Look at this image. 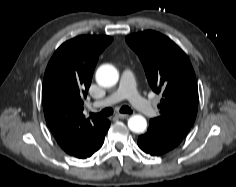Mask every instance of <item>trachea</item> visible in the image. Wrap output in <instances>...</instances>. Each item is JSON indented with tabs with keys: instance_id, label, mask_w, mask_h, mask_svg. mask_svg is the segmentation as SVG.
Here are the masks:
<instances>
[{
	"instance_id": "obj_1",
	"label": "trachea",
	"mask_w": 236,
	"mask_h": 187,
	"mask_svg": "<svg viewBox=\"0 0 236 187\" xmlns=\"http://www.w3.org/2000/svg\"><path fill=\"white\" fill-rule=\"evenodd\" d=\"M120 112L131 114L133 111L130 107L123 106V107H121ZM111 114H113V109L112 108H105L100 113H96V114L90 113V116L93 118H102V117L110 116Z\"/></svg>"
}]
</instances>
